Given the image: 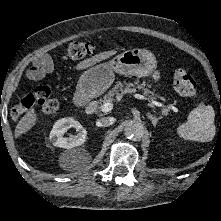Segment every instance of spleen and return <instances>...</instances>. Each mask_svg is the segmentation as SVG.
Instances as JSON below:
<instances>
[{"label": "spleen", "mask_w": 221, "mask_h": 221, "mask_svg": "<svg viewBox=\"0 0 221 221\" xmlns=\"http://www.w3.org/2000/svg\"><path fill=\"white\" fill-rule=\"evenodd\" d=\"M215 112L212 106H199L193 109L187 118V122L182 123L177 128L180 138L190 141L208 142L211 141L216 132L214 125Z\"/></svg>", "instance_id": "1"}]
</instances>
